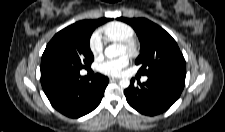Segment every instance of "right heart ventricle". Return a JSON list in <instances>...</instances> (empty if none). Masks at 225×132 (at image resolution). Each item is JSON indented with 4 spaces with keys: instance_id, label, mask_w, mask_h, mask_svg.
Wrapping results in <instances>:
<instances>
[{
    "instance_id": "1",
    "label": "right heart ventricle",
    "mask_w": 225,
    "mask_h": 132,
    "mask_svg": "<svg viewBox=\"0 0 225 132\" xmlns=\"http://www.w3.org/2000/svg\"><path fill=\"white\" fill-rule=\"evenodd\" d=\"M101 32L105 40L110 42H121L133 39L135 31L132 26L120 21H113L102 27Z\"/></svg>"
}]
</instances>
